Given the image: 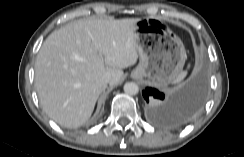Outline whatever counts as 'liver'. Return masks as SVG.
<instances>
[{
	"mask_svg": "<svg viewBox=\"0 0 244 157\" xmlns=\"http://www.w3.org/2000/svg\"><path fill=\"white\" fill-rule=\"evenodd\" d=\"M138 18L81 19L52 32L35 62V89L46 114L76 128L91 116L100 94L117 85L122 69L137 62L134 31Z\"/></svg>",
	"mask_w": 244,
	"mask_h": 157,
	"instance_id": "obj_1",
	"label": "liver"
}]
</instances>
